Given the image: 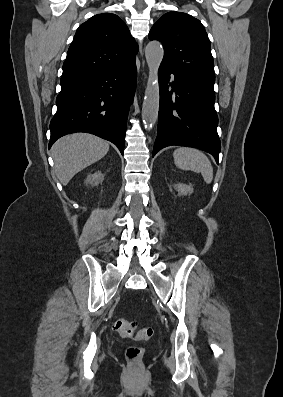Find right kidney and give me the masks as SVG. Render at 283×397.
I'll list each match as a JSON object with an SVG mask.
<instances>
[{"label": "right kidney", "mask_w": 283, "mask_h": 397, "mask_svg": "<svg viewBox=\"0 0 283 397\" xmlns=\"http://www.w3.org/2000/svg\"><path fill=\"white\" fill-rule=\"evenodd\" d=\"M104 175L101 172H95L94 174H89L85 180L86 184L98 185L102 183Z\"/></svg>", "instance_id": "ca27d5eb"}]
</instances>
